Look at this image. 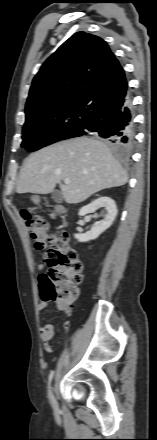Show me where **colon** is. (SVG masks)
Masks as SVG:
<instances>
[{
    "label": "colon",
    "instance_id": "1",
    "mask_svg": "<svg viewBox=\"0 0 157 440\" xmlns=\"http://www.w3.org/2000/svg\"><path fill=\"white\" fill-rule=\"evenodd\" d=\"M62 211L63 207H54L56 214ZM22 216L34 248L44 251V261L49 267L47 273L39 278L41 297L45 301L53 302L59 311L70 313L78 296V286L83 279L81 261L76 251L67 246L66 233H50L47 221L32 215L28 210H23Z\"/></svg>",
    "mask_w": 157,
    "mask_h": 440
}]
</instances>
